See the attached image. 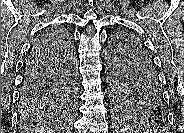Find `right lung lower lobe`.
Returning <instances> with one entry per match:
<instances>
[{
  "label": "right lung lower lobe",
  "mask_w": 184,
  "mask_h": 133,
  "mask_svg": "<svg viewBox=\"0 0 184 133\" xmlns=\"http://www.w3.org/2000/svg\"><path fill=\"white\" fill-rule=\"evenodd\" d=\"M65 49L61 38L49 30L34 41L24 64L20 102L39 103L55 95L64 74Z\"/></svg>",
  "instance_id": "1"
}]
</instances>
